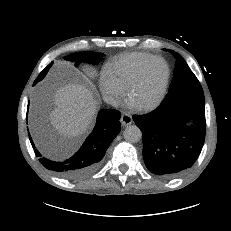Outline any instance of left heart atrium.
Wrapping results in <instances>:
<instances>
[{
    "mask_svg": "<svg viewBox=\"0 0 231 231\" xmlns=\"http://www.w3.org/2000/svg\"><path fill=\"white\" fill-rule=\"evenodd\" d=\"M131 105H132V106H134V107H136V106H137V104H135V103H133V102H132V104H131Z\"/></svg>",
    "mask_w": 231,
    "mask_h": 231,
    "instance_id": "obj_1",
    "label": "left heart atrium"
}]
</instances>
